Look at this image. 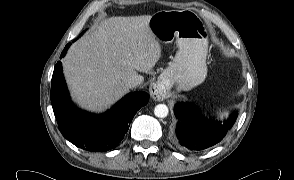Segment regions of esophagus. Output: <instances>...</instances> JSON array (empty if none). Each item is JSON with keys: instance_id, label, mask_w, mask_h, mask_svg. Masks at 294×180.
Masks as SVG:
<instances>
[{"instance_id": "obj_1", "label": "esophagus", "mask_w": 294, "mask_h": 180, "mask_svg": "<svg viewBox=\"0 0 294 180\" xmlns=\"http://www.w3.org/2000/svg\"><path fill=\"white\" fill-rule=\"evenodd\" d=\"M149 93L155 101H163L166 95L165 85L159 82L152 83L149 87Z\"/></svg>"}]
</instances>
